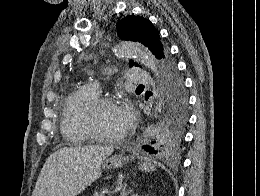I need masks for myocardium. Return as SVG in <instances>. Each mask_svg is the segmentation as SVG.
<instances>
[{
    "label": "myocardium",
    "mask_w": 260,
    "mask_h": 196,
    "mask_svg": "<svg viewBox=\"0 0 260 196\" xmlns=\"http://www.w3.org/2000/svg\"><path fill=\"white\" fill-rule=\"evenodd\" d=\"M121 101L117 97H98L96 100H94L89 107L87 108V113L85 118L81 121V127L87 131L92 138H95L100 141L104 142H120L122 141L125 136L127 135L129 129L125 128L121 133L117 135H111L107 133H102L97 130L95 127V116L97 112L108 105L112 104H120Z\"/></svg>",
    "instance_id": "myocardium-1"
}]
</instances>
